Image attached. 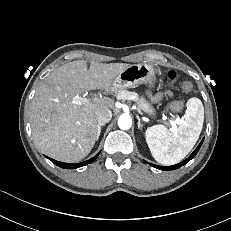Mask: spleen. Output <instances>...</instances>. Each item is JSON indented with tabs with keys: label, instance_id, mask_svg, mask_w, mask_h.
<instances>
[{
	"label": "spleen",
	"instance_id": "3e777b00",
	"mask_svg": "<svg viewBox=\"0 0 231 231\" xmlns=\"http://www.w3.org/2000/svg\"><path fill=\"white\" fill-rule=\"evenodd\" d=\"M184 121L171 131L163 125L149 127L146 141L154 159L163 165L179 163L194 147L204 122V107L199 98H190L186 103Z\"/></svg>",
	"mask_w": 231,
	"mask_h": 231
}]
</instances>
